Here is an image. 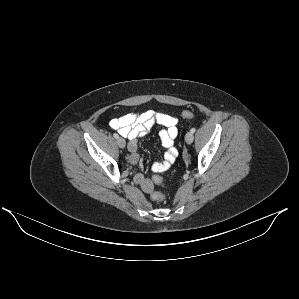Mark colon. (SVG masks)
Here are the masks:
<instances>
[{"instance_id": "colon-1", "label": "colon", "mask_w": 299, "mask_h": 299, "mask_svg": "<svg viewBox=\"0 0 299 299\" xmlns=\"http://www.w3.org/2000/svg\"><path fill=\"white\" fill-rule=\"evenodd\" d=\"M193 116H194V114H193L191 111H184V112L182 113V117H183L184 119H190V118H192ZM153 179H154V182H155L156 184H161V183H162L161 178L158 177V176H155ZM152 198H153L155 201H158V202H161V201L164 200V196H163L160 192H158V191L153 192V194H152Z\"/></svg>"}]
</instances>
